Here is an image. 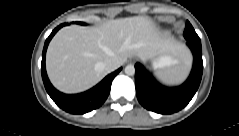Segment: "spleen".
I'll use <instances>...</instances> for the list:
<instances>
[{"label":"spleen","mask_w":239,"mask_h":136,"mask_svg":"<svg viewBox=\"0 0 239 136\" xmlns=\"http://www.w3.org/2000/svg\"><path fill=\"white\" fill-rule=\"evenodd\" d=\"M187 74V71L180 68L169 69L165 72H159L158 78L166 84H175L181 82Z\"/></svg>","instance_id":"obj_1"}]
</instances>
